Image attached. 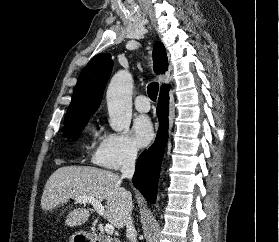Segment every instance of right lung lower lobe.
Segmentation results:
<instances>
[{"instance_id":"right-lung-lower-lobe-1","label":"right lung lower lobe","mask_w":279,"mask_h":242,"mask_svg":"<svg viewBox=\"0 0 279 242\" xmlns=\"http://www.w3.org/2000/svg\"><path fill=\"white\" fill-rule=\"evenodd\" d=\"M169 104L168 90L160 92L157 114L160 128L155 143L148 150L141 153L137 160L135 174L133 176L134 186L141 192L149 203H155L157 196V185L160 166L168 138L167 111ZM165 120L163 124L162 120Z\"/></svg>"}]
</instances>
